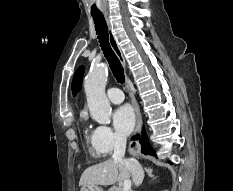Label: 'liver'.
I'll return each mask as SVG.
<instances>
[{
    "mask_svg": "<svg viewBox=\"0 0 233 191\" xmlns=\"http://www.w3.org/2000/svg\"><path fill=\"white\" fill-rule=\"evenodd\" d=\"M131 171L124 164L109 159L90 166L81 175L79 186H109L117 181L128 180Z\"/></svg>",
    "mask_w": 233,
    "mask_h": 191,
    "instance_id": "liver-1",
    "label": "liver"
}]
</instances>
